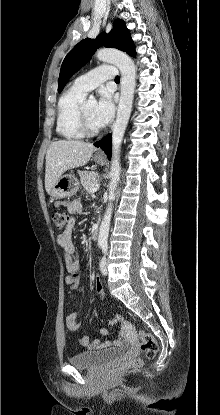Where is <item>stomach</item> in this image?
I'll use <instances>...</instances> for the list:
<instances>
[{
	"mask_svg": "<svg viewBox=\"0 0 220 415\" xmlns=\"http://www.w3.org/2000/svg\"><path fill=\"white\" fill-rule=\"evenodd\" d=\"M95 162L100 165H104L105 159L103 157L95 156ZM80 183L73 174H67L61 176L58 181L53 185L50 195L55 199H63L70 197L79 190Z\"/></svg>",
	"mask_w": 220,
	"mask_h": 415,
	"instance_id": "obj_1",
	"label": "stomach"
}]
</instances>
